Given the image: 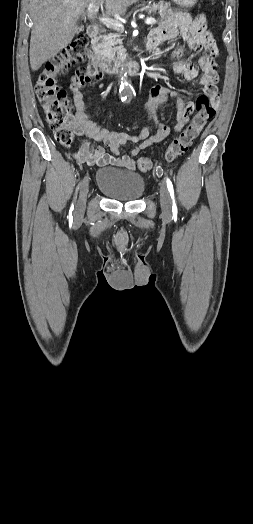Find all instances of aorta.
Masks as SVG:
<instances>
[{
    "mask_svg": "<svg viewBox=\"0 0 253 524\" xmlns=\"http://www.w3.org/2000/svg\"><path fill=\"white\" fill-rule=\"evenodd\" d=\"M127 85H128L127 82H122V83H121V87H124V86H127Z\"/></svg>",
    "mask_w": 253,
    "mask_h": 524,
    "instance_id": "1",
    "label": "aorta"
}]
</instances>
